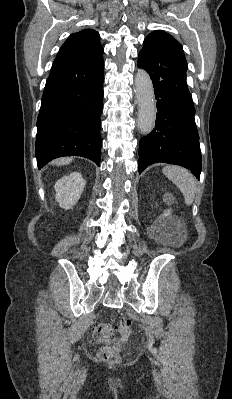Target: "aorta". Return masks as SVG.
Masks as SVG:
<instances>
[{
	"label": "aorta",
	"mask_w": 232,
	"mask_h": 399,
	"mask_svg": "<svg viewBox=\"0 0 232 399\" xmlns=\"http://www.w3.org/2000/svg\"><path fill=\"white\" fill-rule=\"evenodd\" d=\"M135 93L139 106L137 127L142 134H148L154 128L157 110L152 81L143 69L136 75Z\"/></svg>",
	"instance_id": "762f6f07"
}]
</instances>
